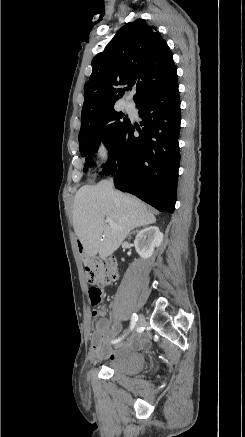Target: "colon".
I'll return each mask as SVG.
<instances>
[{
    "mask_svg": "<svg viewBox=\"0 0 245 437\" xmlns=\"http://www.w3.org/2000/svg\"><path fill=\"white\" fill-rule=\"evenodd\" d=\"M85 275L92 285L89 290L91 304L98 306L103 301L102 288L115 283L118 279L117 262L113 257L90 258L85 262ZM97 316V312H93Z\"/></svg>",
    "mask_w": 245,
    "mask_h": 437,
    "instance_id": "5ec220e1",
    "label": "colon"
}]
</instances>
